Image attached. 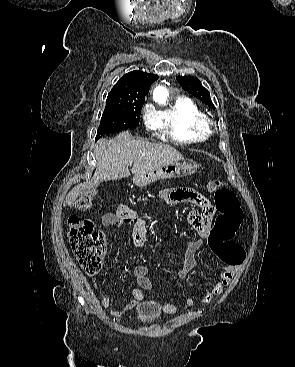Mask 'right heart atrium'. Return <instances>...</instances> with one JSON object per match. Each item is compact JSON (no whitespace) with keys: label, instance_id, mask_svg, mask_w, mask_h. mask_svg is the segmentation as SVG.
Listing matches in <instances>:
<instances>
[{"label":"right heart atrium","instance_id":"right-heart-atrium-1","mask_svg":"<svg viewBox=\"0 0 295 367\" xmlns=\"http://www.w3.org/2000/svg\"><path fill=\"white\" fill-rule=\"evenodd\" d=\"M143 118H144V122H145V125H146V128L150 131H157L158 130V126H157V123L155 121V118L152 114V111L149 107H147L145 110H144V115H143Z\"/></svg>","mask_w":295,"mask_h":367}]
</instances>
